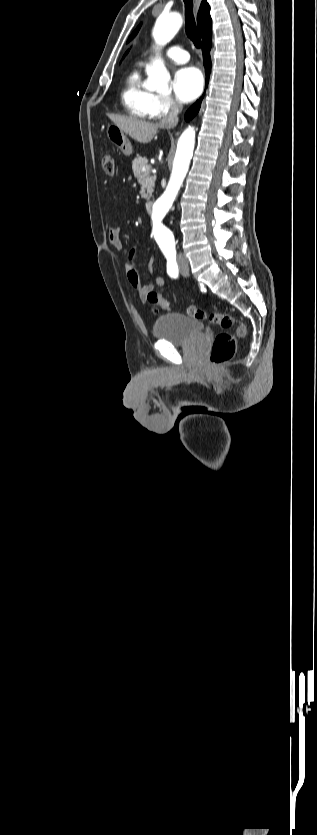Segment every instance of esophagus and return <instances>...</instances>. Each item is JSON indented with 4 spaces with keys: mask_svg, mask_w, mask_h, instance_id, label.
I'll list each match as a JSON object with an SVG mask.
<instances>
[{
    "mask_svg": "<svg viewBox=\"0 0 317 835\" xmlns=\"http://www.w3.org/2000/svg\"><path fill=\"white\" fill-rule=\"evenodd\" d=\"M200 3H201V0H195V4H196V12H197V11H198V9H199Z\"/></svg>",
    "mask_w": 317,
    "mask_h": 835,
    "instance_id": "1",
    "label": "esophagus"
}]
</instances>
